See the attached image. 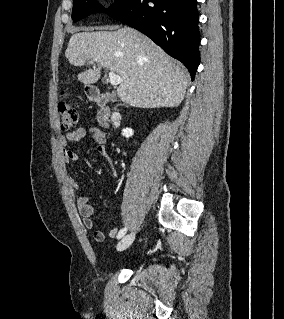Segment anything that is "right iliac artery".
Returning a JSON list of instances; mask_svg holds the SVG:
<instances>
[{
	"mask_svg": "<svg viewBox=\"0 0 284 319\" xmlns=\"http://www.w3.org/2000/svg\"><path fill=\"white\" fill-rule=\"evenodd\" d=\"M127 232V227H124L123 229H121L117 235V238L120 239L122 238Z\"/></svg>",
	"mask_w": 284,
	"mask_h": 319,
	"instance_id": "right-iliac-artery-1",
	"label": "right iliac artery"
}]
</instances>
